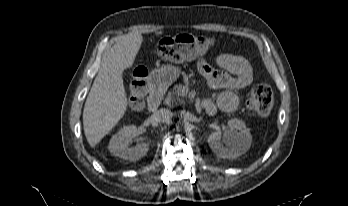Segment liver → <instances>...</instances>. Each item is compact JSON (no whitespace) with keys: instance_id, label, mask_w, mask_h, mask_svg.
Masks as SVG:
<instances>
[{"instance_id":"liver-1","label":"liver","mask_w":348,"mask_h":206,"mask_svg":"<svg viewBox=\"0 0 348 206\" xmlns=\"http://www.w3.org/2000/svg\"><path fill=\"white\" fill-rule=\"evenodd\" d=\"M142 41L140 33L122 35L104 56L83 110L84 133L91 147H95L125 115L127 95L123 71L133 65Z\"/></svg>"}]
</instances>
